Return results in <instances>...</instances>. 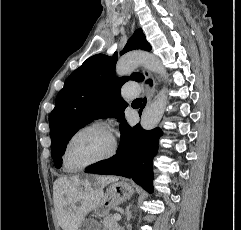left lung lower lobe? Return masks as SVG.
<instances>
[{
    "mask_svg": "<svg viewBox=\"0 0 241 230\" xmlns=\"http://www.w3.org/2000/svg\"><path fill=\"white\" fill-rule=\"evenodd\" d=\"M145 103L146 101L139 111L140 114ZM120 131L121 140L116 155L91 165L85 172L132 178L145 190L152 192V159L157 153L162 131L159 128L146 131L140 124L132 128L125 119L121 122Z\"/></svg>",
    "mask_w": 241,
    "mask_h": 230,
    "instance_id": "0a47b994",
    "label": "left lung lower lobe"
}]
</instances>
